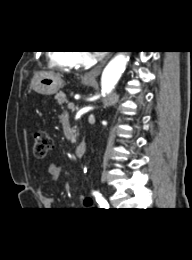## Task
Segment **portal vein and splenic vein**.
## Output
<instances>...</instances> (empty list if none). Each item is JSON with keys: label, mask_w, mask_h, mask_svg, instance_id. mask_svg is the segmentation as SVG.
<instances>
[{"label": "portal vein and splenic vein", "mask_w": 192, "mask_h": 260, "mask_svg": "<svg viewBox=\"0 0 192 260\" xmlns=\"http://www.w3.org/2000/svg\"><path fill=\"white\" fill-rule=\"evenodd\" d=\"M67 107H68V109H73V108H74V103L69 102V103L67 104Z\"/></svg>", "instance_id": "1"}]
</instances>
